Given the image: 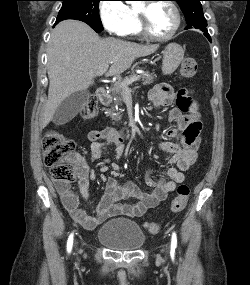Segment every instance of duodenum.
Masks as SVG:
<instances>
[{"label": "duodenum", "instance_id": "1", "mask_svg": "<svg viewBox=\"0 0 250 285\" xmlns=\"http://www.w3.org/2000/svg\"><path fill=\"white\" fill-rule=\"evenodd\" d=\"M96 94L101 103H107L109 101V93L104 87L98 88Z\"/></svg>", "mask_w": 250, "mask_h": 285}]
</instances>
